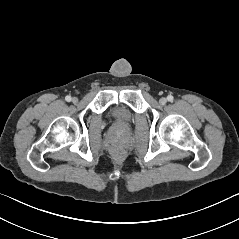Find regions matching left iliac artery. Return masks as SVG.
Wrapping results in <instances>:
<instances>
[{
  "mask_svg": "<svg viewBox=\"0 0 239 239\" xmlns=\"http://www.w3.org/2000/svg\"><path fill=\"white\" fill-rule=\"evenodd\" d=\"M167 100H168L169 102H173L174 98H173L172 95H169V96H167Z\"/></svg>",
  "mask_w": 239,
  "mask_h": 239,
  "instance_id": "obj_1",
  "label": "left iliac artery"
}]
</instances>
